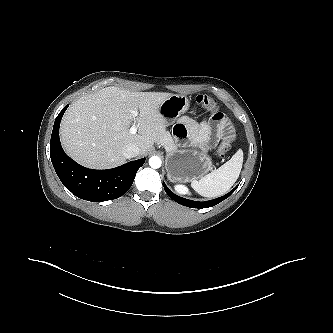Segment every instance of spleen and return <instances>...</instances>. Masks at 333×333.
I'll return each mask as SVG.
<instances>
[{"instance_id": "3e777b00", "label": "spleen", "mask_w": 333, "mask_h": 333, "mask_svg": "<svg viewBox=\"0 0 333 333\" xmlns=\"http://www.w3.org/2000/svg\"><path fill=\"white\" fill-rule=\"evenodd\" d=\"M243 151L239 149L232 158L217 170L193 180L191 187L201 196L218 197L225 194L237 181L242 165Z\"/></svg>"}]
</instances>
